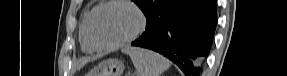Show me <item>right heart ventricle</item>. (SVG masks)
Here are the masks:
<instances>
[{
	"mask_svg": "<svg viewBox=\"0 0 287 76\" xmlns=\"http://www.w3.org/2000/svg\"><path fill=\"white\" fill-rule=\"evenodd\" d=\"M79 37H80L81 48L85 53H93L97 50V48H95L91 44L86 35V17L83 19L81 23Z\"/></svg>",
	"mask_w": 287,
	"mask_h": 76,
	"instance_id": "1",
	"label": "right heart ventricle"
}]
</instances>
